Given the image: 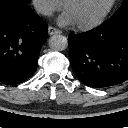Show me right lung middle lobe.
I'll use <instances>...</instances> for the list:
<instances>
[{
	"mask_svg": "<svg viewBox=\"0 0 128 128\" xmlns=\"http://www.w3.org/2000/svg\"><path fill=\"white\" fill-rule=\"evenodd\" d=\"M0 1H17V2H22V3L28 4V3H30L31 0H0Z\"/></svg>",
	"mask_w": 128,
	"mask_h": 128,
	"instance_id": "1",
	"label": "right lung middle lobe"
}]
</instances>
